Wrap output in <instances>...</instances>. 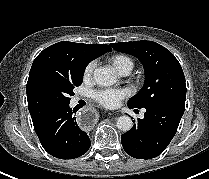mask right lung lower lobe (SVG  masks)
<instances>
[{"label":"right lung lower lobe","mask_w":209,"mask_h":179,"mask_svg":"<svg viewBox=\"0 0 209 179\" xmlns=\"http://www.w3.org/2000/svg\"><path fill=\"white\" fill-rule=\"evenodd\" d=\"M75 112L68 103L33 122L43 148L50 155L59 159H73L82 156L90 148V139L78 126Z\"/></svg>","instance_id":"1"}]
</instances>
